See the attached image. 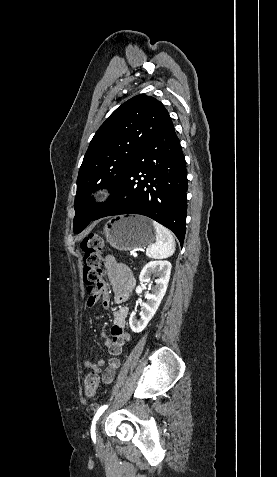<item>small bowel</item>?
Segmentation results:
<instances>
[{
    "label": "small bowel",
    "instance_id": "c3829d8e",
    "mask_svg": "<svg viewBox=\"0 0 277 477\" xmlns=\"http://www.w3.org/2000/svg\"><path fill=\"white\" fill-rule=\"evenodd\" d=\"M104 265L111 282L115 301L117 303L125 302L128 299L129 294L135 288V278L131 270L126 265L119 263L112 256H107L105 258ZM100 298L103 307L109 308L111 305V298L106 284H102L97 297H89L88 306H94ZM128 311L129 310L126 306H121L115 311L111 337L106 331L100 332V337L111 354V357L107 362V367L103 370L106 365V361L103 359H99L96 362H92L89 359L84 360V366L92 369L97 375H101L104 384H110L113 381L116 371L120 367V360L117 355L122 352L123 346L130 341V335L126 331Z\"/></svg>",
    "mask_w": 277,
    "mask_h": 477
}]
</instances>
